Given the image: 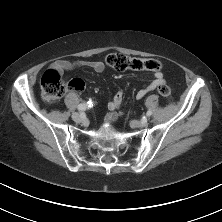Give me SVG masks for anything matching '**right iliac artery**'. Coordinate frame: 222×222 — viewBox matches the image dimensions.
Listing matches in <instances>:
<instances>
[{
    "instance_id": "1",
    "label": "right iliac artery",
    "mask_w": 222,
    "mask_h": 222,
    "mask_svg": "<svg viewBox=\"0 0 222 222\" xmlns=\"http://www.w3.org/2000/svg\"><path fill=\"white\" fill-rule=\"evenodd\" d=\"M92 106H93V102L90 100L87 103L79 104L77 108L79 111H84L87 108H91Z\"/></svg>"
}]
</instances>
